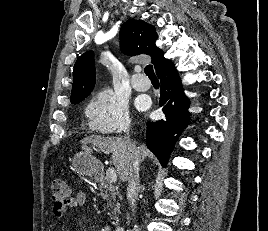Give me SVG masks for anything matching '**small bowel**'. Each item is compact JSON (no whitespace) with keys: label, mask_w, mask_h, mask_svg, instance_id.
Masks as SVG:
<instances>
[{"label":"small bowel","mask_w":268,"mask_h":231,"mask_svg":"<svg viewBox=\"0 0 268 231\" xmlns=\"http://www.w3.org/2000/svg\"><path fill=\"white\" fill-rule=\"evenodd\" d=\"M86 202V193L84 191H77L76 194L71 198L68 209H75L81 207ZM65 213V210L61 208L54 207V214L56 216H62Z\"/></svg>","instance_id":"c3829d8e"}]
</instances>
